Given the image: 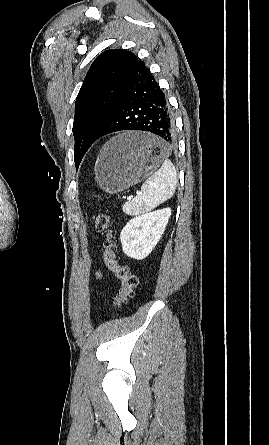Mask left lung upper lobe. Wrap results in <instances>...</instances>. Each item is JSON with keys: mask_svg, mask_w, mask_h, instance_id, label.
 I'll return each instance as SVG.
<instances>
[{"mask_svg": "<svg viewBox=\"0 0 269 445\" xmlns=\"http://www.w3.org/2000/svg\"><path fill=\"white\" fill-rule=\"evenodd\" d=\"M139 62L132 52L115 49L100 54L90 66L75 102L76 168L112 115Z\"/></svg>", "mask_w": 269, "mask_h": 445, "instance_id": "obj_1", "label": "left lung upper lobe"}]
</instances>
